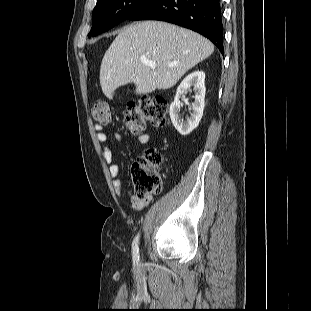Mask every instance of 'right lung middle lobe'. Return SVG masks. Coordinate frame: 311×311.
<instances>
[{
	"label": "right lung middle lobe",
	"instance_id": "dd1d6c3e",
	"mask_svg": "<svg viewBox=\"0 0 311 311\" xmlns=\"http://www.w3.org/2000/svg\"><path fill=\"white\" fill-rule=\"evenodd\" d=\"M153 1L155 0H97L93 10V26L88 37L107 31Z\"/></svg>",
	"mask_w": 311,
	"mask_h": 311
}]
</instances>
